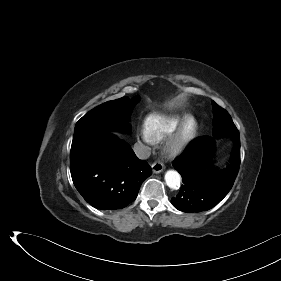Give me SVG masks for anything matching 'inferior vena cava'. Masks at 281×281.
<instances>
[{"label":"inferior vena cava","mask_w":281,"mask_h":281,"mask_svg":"<svg viewBox=\"0 0 281 281\" xmlns=\"http://www.w3.org/2000/svg\"><path fill=\"white\" fill-rule=\"evenodd\" d=\"M133 150L136 156L142 160L148 159L151 155L150 148L142 143H135Z\"/></svg>","instance_id":"inferior-vena-cava-1"}]
</instances>
